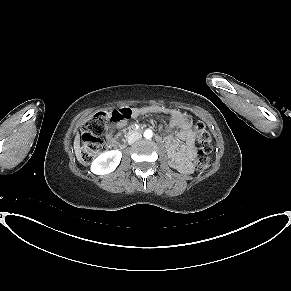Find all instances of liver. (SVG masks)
<instances>
[{"label":"liver","mask_w":291,"mask_h":291,"mask_svg":"<svg viewBox=\"0 0 291 291\" xmlns=\"http://www.w3.org/2000/svg\"><path fill=\"white\" fill-rule=\"evenodd\" d=\"M74 151L78 161H81V150H80V135L77 134L74 140Z\"/></svg>","instance_id":"1"}]
</instances>
